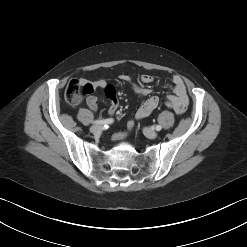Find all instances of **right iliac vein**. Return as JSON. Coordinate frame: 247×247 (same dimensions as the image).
Listing matches in <instances>:
<instances>
[{
    "label": "right iliac vein",
    "instance_id": "1",
    "mask_svg": "<svg viewBox=\"0 0 247 247\" xmlns=\"http://www.w3.org/2000/svg\"><path fill=\"white\" fill-rule=\"evenodd\" d=\"M102 130V126L101 125H93L90 128V131L94 134L99 133Z\"/></svg>",
    "mask_w": 247,
    "mask_h": 247
}]
</instances>
